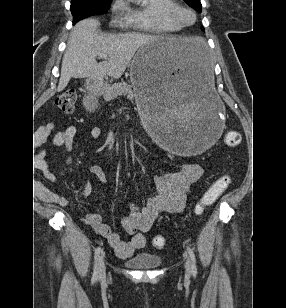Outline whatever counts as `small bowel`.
<instances>
[{
	"mask_svg": "<svg viewBox=\"0 0 286 308\" xmlns=\"http://www.w3.org/2000/svg\"><path fill=\"white\" fill-rule=\"evenodd\" d=\"M53 129L54 125L52 123L39 127L34 136L36 145L41 147L47 140L51 139L53 146L71 150L77 134V128L69 126L55 132ZM101 134L102 131L98 127H94L90 131V135L94 139L99 138ZM36 165L48 181H56V175L52 172L50 164L45 160L44 150L38 152ZM90 171L100 183L107 181V175L100 165H92ZM202 176L203 169L193 163L183 164L174 171L155 175L156 195L149 197L143 207L132 205L129 215L123 220V227L129 235L128 240H124L118 233L113 232L110 226L102 221L99 212L87 214L84 217V221L96 233L108 241L118 257L127 258L136 250L145 246L146 238L143 232L149 231L152 228L161 212L176 213L184 208L187 196L191 192L193 185ZM90 192L91 186L87 184L80 191V196L86 197ZM41 196L54 204L68 205L67 199L58 196L47 188L42 191Z\"/></svg>",
	"mask_w": 286,
	"mask_h": 308,
	"instance_id": "c3829d8e",
	"label": "small bowel"
}]
</instances>
